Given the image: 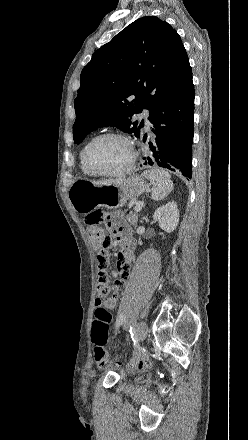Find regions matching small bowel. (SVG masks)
Returning <instances> with one entry per match:
<instances>
[{
    "instance_id": "small-bowel-1",
    "label": "small bowel",
    "mask_w": 248,
    "mask_h": 440,
    "mask_svg": "<svg viewBox=\"0 0 248 440\" xmlns=\"http://www.w3.org/2000/svg\"><path fill=\"white\" fill-rule=\"evenodd\" d=\"M110 226L114 229V232L120 237L123 247L122 253L115 259H108V257H99L98 259V276L96 277V289L98 296L95 298L96 303L102 304L106 309L113 310L116 307L117 299L119 296V290H123L125 280L128 279V272L131 269V259L133 251V241L129 234V228L120 213H114L110 220ZM115 262L117 267L115 266ZM116 267L118 280L113 281L115 289H111L108 284V279L111 277L112 272ZM111 293L109 297L107 295ZM133 365L139 367L144 366L145 360L139 356L133 362Z\"/></svg>"
}]
</instances>
